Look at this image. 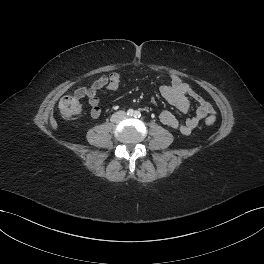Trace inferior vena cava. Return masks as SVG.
Segmentation results:
<instances>
[{
    "mask_svg": "<svg viewBox=\"0 0 264 264\" xmlns=\"http://www.w3.org/2000/svg\"><path fill=\"white\" fill-rule=\"evenodd\" d=\"M121 118H125L126 117V113L124 111L120 112Z\"/></svg>",
    "mask_w": 264,
    "mask_h": 264,
    "instance_id": "obj_1",
    "label": "inferior vena cava"
}]
</instances>
